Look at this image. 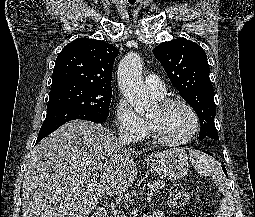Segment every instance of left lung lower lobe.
I'll use <instances>...</instances> for the list:
<instances>
[{"label": "left lung lower lobe", "mask_w": 255, "mask_h": 217, "mask_svg": "<svg viewBox=\"0 0 255 217\" xmlns=\"http://www.w3.org/2000/svg\"><path fill=\"white\" fill-rule=\"evenodd\" d=\"M203 152H205V153H207V154H209V155H213L212 153H210V152H208V151H203ZM223 171H224V173L226 174V176H227V171H226V169H225V167L223 166ZM228 177V176H227Z\"/></svg>", "instance_id": "0a47b994"}]
</instances>
